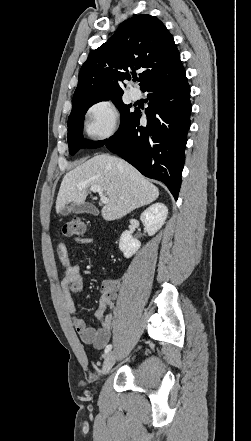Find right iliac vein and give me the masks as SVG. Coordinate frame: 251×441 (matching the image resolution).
Instances as JSON below:
<instances>
[{"mask_svg":"<svg viewBox=\"0 0 251 441\" xmlns=\"http://www.w3.org/2000/svg\"><path fill=\"white\" fill-rule=\"evenodd\" d=\"M115 362H116V355L114 354V352L107 353L102 365L101 374L102 375L107 374L112 368V366L115 364Z\"/></svg>","mask_w":251,"mask_h":441,"instance_id":"1","label":"right iliac vein"}]
</instances>
